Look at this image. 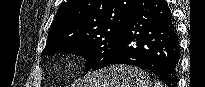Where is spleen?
<instances>
[{"label":"spleen","instance_id":"spleen-1","mask_svg":"<svg viewBox=\"0 0 205 87\" xmlns=\"http://www.w3.org/2000/svg\"><path fill=\"white\" fill-rule=\"evenodd\" d=\"M154 87H163V84L160 81L156 80L154 83Z\"/></svg>","mask_w":205,"mask_h":87}]
</instances>
